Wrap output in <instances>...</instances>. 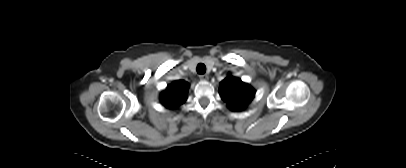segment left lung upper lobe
Instances as JSON below:
<instances>
[{
	"mask_svg": "<svg viewBox=\"0 0 406 168\" xmlns=\"http://www.w3.org/2000/svg\"><path fill=\"white\" fill-rule=\"evenodd\" d=\"M220 85L221 98L234 111L246 108L255 94L254 89L249 84L233 76L226 77Z\"/></svg>",
	"mask_w": 406,
	"mask_h": 168,
	"instance_id": "obj_1",
	"label": "left lung upper lobe"
}]
</instances>
